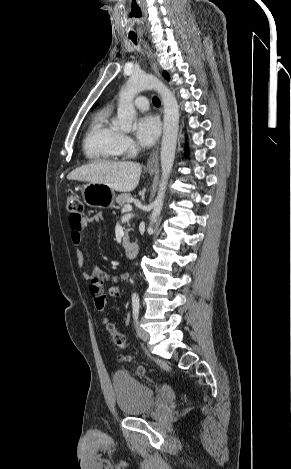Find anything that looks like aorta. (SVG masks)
<instances>
[{
	"label": "aorta",
	"instance_id": "obj_1",
	"mask_svg": "<svg viewBox=\"0 0 291 469\" xmlns=\"http://www.w3.org/2000/svg\"><path fill=\"white\" fill-rule=\"evenodd\" d=\"M143 90L157 91L162 98L164 106L163 138L160 153L162 175L158 195L153 203L150 225L147 229L148 232H150L157 217L161 213L168 178L175 159L176 141L179 130V107L172 91L156 77L152 75L134 74L128 79L125 87L121 89L119 94L117 119L114 121V126L117 129L125 132L131 130L132 122L136 114L133 99Z\"/></svg>",
	"mask_w": 291,
	"mask_h": 469
}]
</instances>
